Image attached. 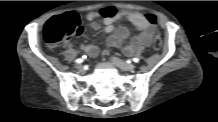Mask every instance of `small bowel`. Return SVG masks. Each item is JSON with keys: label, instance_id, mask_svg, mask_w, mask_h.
<instances>
[{"label": "small bowel", "instance_id": "obj_1", "mask_svg": "<svg viewBox=\"0 0 218 122\" xmlns=\"http://www.w3.org/2000/svg\"><path fill=\"white\" fill-rule=\"evenodd\" d=\"M99 17L103 18L104 30L107 33H111L107 40L108 47H120L128 38L129 31L126 27H119L117 29L114 27V22L123 19L128 20L139 31V34L134 36L131 42L124 47L126 54H132L142 47L149 46L152 42L155 34V25H152L146 16L137 11H118L113 6H106L98 11L89 12L86 15V19L90 22V27L93 30H98L100 27L96 22V19ZM82 50L91 58H95L99 53L98 47L94 44L85 45L82 47Z\"/></svg>", "mask_w": 218, "mask_h": 122}]
</instances>
